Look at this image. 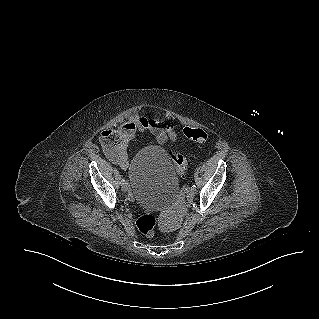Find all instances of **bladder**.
<instances>
[{
	"label": "bladder",
	"instance_id": "obj_1",
	"mask_svg": "<svg viewBox=\"0 0 319 319\" xmlns=\"http://www.w3.org/2000/svg\"><path fill=\"white\" fill-rule=\"evenodd\" d=\"M127 172L135 201L142 207L163 210L178 192V176L168 152L159 146L146 147L133 157Z\"/></svg>",
	"mask_w": 319,
	"mask_h": 319
}]
</instances>
